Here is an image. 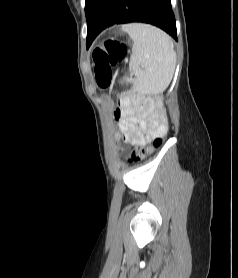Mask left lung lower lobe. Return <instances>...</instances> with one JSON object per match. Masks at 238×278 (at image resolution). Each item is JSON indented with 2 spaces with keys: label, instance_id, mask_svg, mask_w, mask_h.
I'll return each mask as SVG.
<instances>
[{
  "label": "left lung lower lobe",
  "instance_id": "left-lung-lower-lobe-1",
  "mask_svg": "<svg viewBox=\"0 0 238 278\" xmlns=\"http://www.w3.org/2000/svg\"><path fill=\"white\" fill-rule=\"evenodd\" d=\"M129 22L153 24L177 40L170 0H101L87 25V48L105 28Z\"/></svg>",
  "mask_w": 238,
  "mask_h": 278
}]
</instances>
